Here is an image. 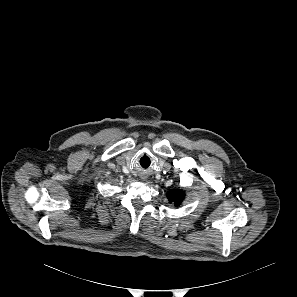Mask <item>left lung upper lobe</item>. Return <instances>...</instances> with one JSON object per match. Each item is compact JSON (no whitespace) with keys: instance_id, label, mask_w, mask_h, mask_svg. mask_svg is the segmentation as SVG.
Returning <instances> with one entry per match:
<instances>
[{"instance_id":"obj_1","label":"left lung upper lobe","mask_w":297,"mask_h":297,"mask_svg":"<svg viewBox=\"0 0 297 297\" xmlns=\"http://www.w3.org/2000/svg\"><path fill=\"white\" fill-rule=\"evenodd\" d=\"M167 196L170 202H175L176 206H178L183 199V193L179 190L171 191Z\"/></svg>"}]
</instances>
